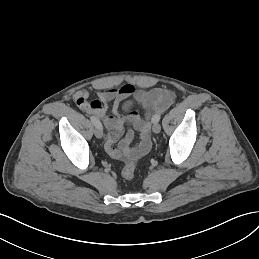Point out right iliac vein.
Returning <instances> with one entry per match:
<instances>
[{"instance_id":"obj_1","label":"right iliac vein","mask_w":259,"mask_h":259,"mask_svg":"<svg viewBox=\"0 0 259 259\" xmlns=\"http://www.w3.org/2000/svg\"><path fill=\"white\" fill-rule=\"evenodd\" d=\"M94 134L97 138H102L103 137V130L102 128L96 127L94 130Z\"/></svg>"}]
</instances>
